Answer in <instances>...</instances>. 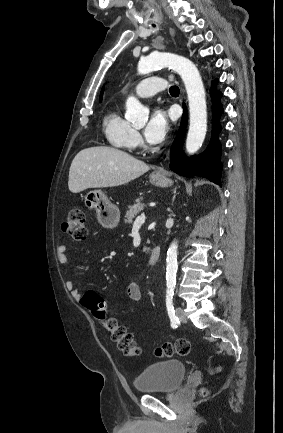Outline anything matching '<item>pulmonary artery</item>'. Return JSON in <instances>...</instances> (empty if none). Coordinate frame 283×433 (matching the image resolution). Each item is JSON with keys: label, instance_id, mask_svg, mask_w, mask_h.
Masks as SVG:
<instances>
[{"label": "pulmonary artery", "instance_id": "e3ab8cb5", "mask_svg": "<svg viewBox=\"0 0 283 433\" xmlns=\"http://www.w3.org/2000/svg\"><path fill=\"white\" fill-rule=\"evenodd\" d=\"M168 81L161 78V74L156 77H149L140 81L134 88V93L139 97H151L157 92H165Z\"/></svg>", "mask_w": 283, "mask_h": 433}]
</instances>
